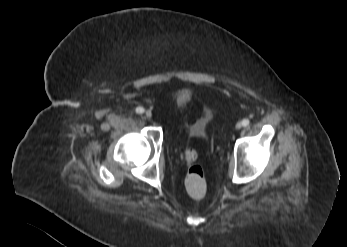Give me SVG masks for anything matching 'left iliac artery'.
Masks as SVG:
<instances>
[{"label": "left iliac artery", "mask_w": 347, "mask_h": 247, "mask_svg": "<svg viewBox=\"0 0 347 247\" xmlns=\"http://www.w3.org/2000/svg\"><path fill=\"white\" fill-rule=\"evenodd\" d=\"M249 123H250L249 119H243V121H242V125H243L244 127L248 126Z\"/></svg>", "instance_id": "44dca946"}]
</instances>
